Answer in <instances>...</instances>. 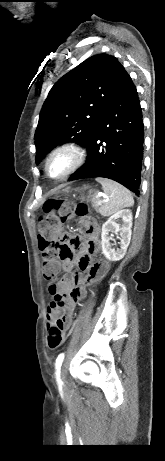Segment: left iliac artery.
<instances>
[{
  "label": "left iliac artery",
  "instance_id": "44dca946",
  "mask_svg": "<svg viewBox=\"0 0 165 461\" xmlns=\"http://www.w3.org/2000/svg\"><path fill=\"white\" fill-rule=\"evenodd\" d=\"M63 359H64V354H60L57 359H56V375H57V379L58 381L60 382V379H59V374H60V366L63 362ZM62 383V382H61Z\"/></svg>",
  "mask_w": 165,
  "mask_h": 461
}]
</instances>
